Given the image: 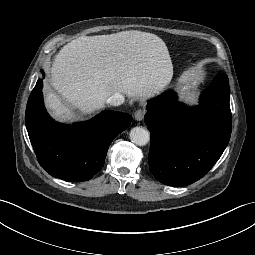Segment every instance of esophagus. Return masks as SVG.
I'll return each instance as SVG.
<instances>
[{"mask_svg":"<svg viewBox=\"0 0 255 255\" xmlns=\"http://www.w3.org/2000/svg\"><path fill=\"white\" fill-rule=\"evenodd\" d=\"M145 111L143 109H138L134 113V118L137 121H141L144 118Z\"/></svg>","mask_w":255,"mask_h":255,"instance_id":"34e87169","label":"esophagus"}]
</instances>
